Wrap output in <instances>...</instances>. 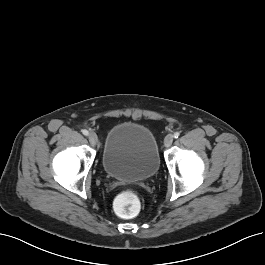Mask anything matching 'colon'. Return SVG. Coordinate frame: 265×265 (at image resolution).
Listing matches in <instances>:
<instances>
[{
	"label": "colon",
	"mask_w": 265,
	"mask_h": 265,
	"mask_svg": "<svg viewBox=\"0 0 265 265\" xmlns=\"http://www.w3.org/2000/svg\"><path fill=\"white\" fill-rule=\"evenodd\" d=\"M114 207L119 216L132 218L140 210V201L134 191L124 190L116 197Z\"/></svg>",
	"instance_id": "5ec220e1"
}]
</instances>
